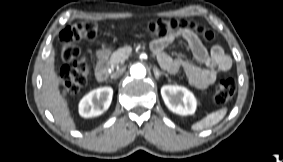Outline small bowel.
I'll return each instance as SVG.
<instances>
[{
    "instance_id": "small-bowel-1",
    "label": "small bowel",
    "mask_w": 283,
    "mask_h": 162,
    "mask_svg": "<svg viewBox=\"0 0 283 162\" xmlns=\"http://www.w3.org/2000/svg\"><path fill=\"white\" fill-rule=\"evenodd\" d=\"M177 37H182L187 42L194 58L201 66L181 58H173L165 52V48ZM151 49L156 55L159 64L165 70L175 73L179 69H183L190 83L199 89L210 87L217 77L227 72L232 65L230 57L220 46H212L208 50L198 36L191 31L155 39L151 43Z\"/></svg>"
}]
</instances>
